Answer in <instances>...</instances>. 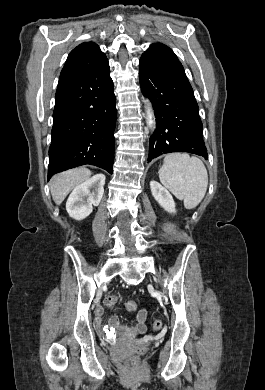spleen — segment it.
I'll return each instance as SVG.
<instances>
[{
	"mask_svg": "<svg viewBox=\"0 0 265 390\" xmlns=\"http://www.w3.org/2000/svg\"><path fill=\"white\" fill-rule=\"evenodd\" d=\"M159 178L177 199L184 200L186 209H193L202 201L208 186L205 165L199 158L188 154L167 155L159 170Z\"/></svg>",
	"mask_w": 265,
	"mask_h": 390,
	"instance_id": "3e777b00",
	"label": "spleen"
}]
</instances>
